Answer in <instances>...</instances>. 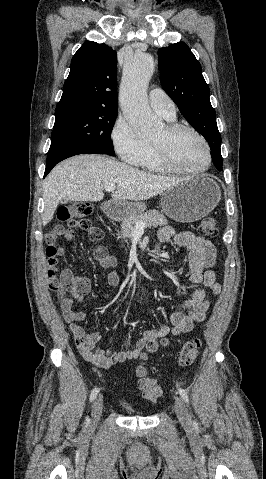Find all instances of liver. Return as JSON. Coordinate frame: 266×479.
I'll use <instances>...</instances> for the list:
<instances>
[{"label": "liver", "mask_w": 266, "mask_h": 479, "mask_svg": "<svg viewBox=\"0 0 266 479\" xmlns=\"http://www.w3.org/2000/svg\"><path fill=\"white\" fill-rule=\"evenodd\" d=\"M189 179L155 175L102 155L83 154L58 164L43 184V225H47L61 199L101 201L105 185L114 184L113 201H141L162 194Z\"/></svg>", "instance_id": "obj_1"}]
</instances>
